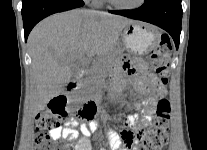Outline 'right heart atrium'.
I'll return each instance as SVG.
<instances>
[{"label":"right heart atrium","mask_w":207,"mask_h":150,"mask_svg":"<svg viewBox=\"0 0 207 150\" xmlns=\"http://www.w3.org/2000/svg\"><path fill=\"white\" fill-rule=\"evenodd\" d=\"M85 1H89V0H85ZM92 1H95L96 2V0H92Z\"/></svg>","instance_id":"obj_1"}]
</instances>
